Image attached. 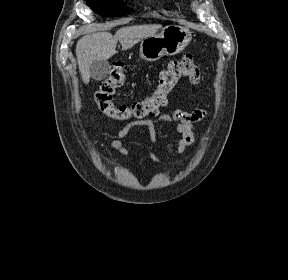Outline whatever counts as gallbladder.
Segmentation results:
<instances>
[{"label":"gallbladder","mask_w":288,"mask_h":280,"mask_svg":"<svg viewBox=\"0 0 288 280\" xmlns=\"http://www.w3.org/2000/svg\"><path fill=\"white\" fill-rule=\"evenodd\" d=\"M111 72V66L107 60L94 61L89 67V75L97 81L105 79Z\"/></svg>","instance_id":"gallbladder-1"}]
</instances>
